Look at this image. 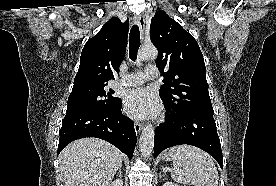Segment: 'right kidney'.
I'll list each match as a JSON object with an SVG mask.
<instances>
[{
  "instance_id": "ca27d5eb",
  "label": "right kidney",
  "mask_w": 276,
  "mask_h": 186,
  "mask_svg": "<svg viewBox=\"0 0 276 186\" xmlns=\"http://www.w3.org/2000/svg\"><path fill=\"white\" fill-rule=\"evenodd\" d=\"M109 186H123V181L121 179L114 180Z\"/></svg>"
}]
</instances>
